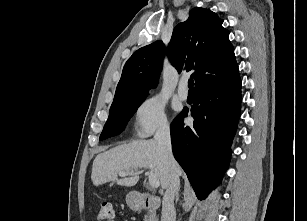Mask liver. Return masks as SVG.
Listing matches in <instances>:
<instances>
[{"label": "liver", "mask_w": 307, "mask_h": 221, "mask_svg": "<svg viewBox=\"0 0 307 221\" xmlns=\"http://www.w3.org/2000/svg\"><path fill=\"white\" fill-rule=\"evenodd\" d=\"M148 168L157 176L162 188H167L169 167L161 147L154 139L135 140L98 154L93 162L91 180L95 186L112 181L131 187L139 181L138 173L122 179H118V175ZM177 173L179 176L182 173L178 164Z\"/></svg>", "instance_id": "6515ba94"}]
</instances>
